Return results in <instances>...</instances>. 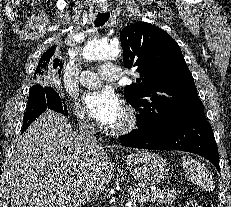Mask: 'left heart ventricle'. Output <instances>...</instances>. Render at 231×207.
Instances as JSON below:
<instances>
[{
  "label": "left heart ventricle",
  "mask_w": 231,
  "mask_h": 207,
  "mask_svg": "<svg viewBox=\"0 0 231 207\" xmlns=\"http://www.w3.org/2000/svg\"><path fill=\"white\" fill-rule=\"evenodd\" d=\"M125 119V115L123 114V116L117 120L114 124H112L111 126H117V125H120Z\"/></svg>",
  "instance_id": "obj_1"
}]
</instances>
